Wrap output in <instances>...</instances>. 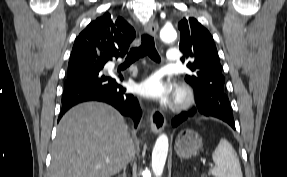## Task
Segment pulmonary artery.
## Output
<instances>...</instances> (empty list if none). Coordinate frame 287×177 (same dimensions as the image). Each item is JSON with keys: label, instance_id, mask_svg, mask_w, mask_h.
Instances as JSON below:
<instances>
[{"label": "pulmonary artery", "instance_id": "obj_1", "mask_svg": "<svg viewBox=\"0 0 287 177\" xmlns=\"http://www.w3.org/2000/svg\"><path fill=\"white\" fill-rule=\"evenodd\" d=\"M178 53L177 48H171L168 50L165 58V63L167 66H173L178 64Z\"/></svg>", "mask_w": 287, "mask_h": 177}]
</instances>
